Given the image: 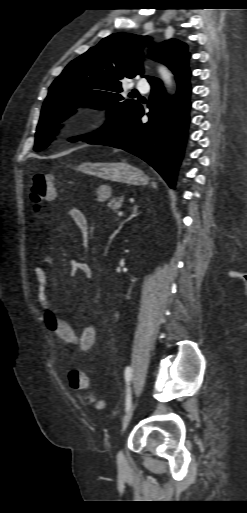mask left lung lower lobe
Here are the masks:
<instances>
[{
  "instance_id": "left-lung-lower-lobe-1",
  "label": "left lung lower lobe",
  "mask_w": 247,
  "mask_h": 513,
  "mask_svg": "<svg viewBox=\"0 0 247 513\" xmlns=\"http://www.w3.org/2000/svg\"><path fill=\"white\" fill-rule=\"evenodd\" d=\"M173 73L178 84L176 98L172 100L165 94L161 81L154 83L148 102V122L141 121L144 109L138 104L110 130L88 141L89 144L120 148L140 157L158 171L172 188L182 158L189 120L191 73L188 60Z\"/></svg>"
}]
</instances>
